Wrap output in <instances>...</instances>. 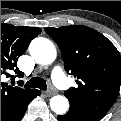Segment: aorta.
<instances>
[{
	"label": "aorta",
	"instance_id": "aorta-1",
	"mask_svg": "<svg viewBox=\"0 0 121 121\" xmlns=\"http://www.w3.org/2000/svg\"><path fill=\"white\" fill-rule=\"evenodd\" d=\"M29 51L32 58L39 64H51L56 58V49L54 44L42 37L32 40ZM50 107L56 114H64L69 109V102L66 97L57 95L50 100Z\"/></svg>",
	"mask_w": 121,
	"mask_h": 121
}]
</instances>
